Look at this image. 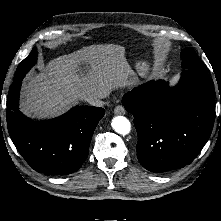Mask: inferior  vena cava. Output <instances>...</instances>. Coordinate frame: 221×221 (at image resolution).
<instances>
[{
  "instance_id": "obj_1",
  "label": "inferior vena cava",
  "mask_w": 221,
  "mask_h": 221,
  "mask_svg": "<svg viewBox=\"0 0 221 221\" xmlns=\"http://www.w3.org/2000/svg\"><path fill=\"white\" fill-rule=\"evenodd\" d=\"M84 101L92 106L102 107L104 102L100 100L96 95H89L84 98Z\"/></svg>"
}]
</instances>
